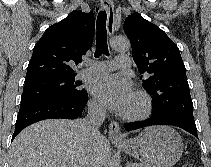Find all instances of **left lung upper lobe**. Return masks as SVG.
Returning a JSON list of instances; mask_svg holds the SVG:
<instances>
[{"label":"left lung upper lobe","mask_w":211,"mask_h":167,"mask_svg":"<svg viewBox=\"0 0 211 167\" xmlns=\"http://www.w3.org/2000/svg\"><path fill=\"white\" fill-rule=\"evenodd\" d=\"M132 55L141 74H150L142 85L153 95V116L193 119L186 69L177 45L155 24L135 12L124 22Z\"/></svg>","instance_id":"obj_1"}]
</instances>
